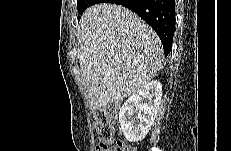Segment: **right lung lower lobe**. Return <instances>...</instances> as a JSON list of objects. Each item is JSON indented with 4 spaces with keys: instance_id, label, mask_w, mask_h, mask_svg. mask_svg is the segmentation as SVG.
Instances as JSON below:
<instances>
[{
    "instance_id": "1",
    "label": "right lung lower lobe",
    "mask_w": 231,
    "mask_h": 151,
    "mask_svg": "<svg viewBox=\"0 0 231 151\" xmlns=\"http://www.w3.org/2000/svg\"><path fill=\"white\" fill-rule=\"evenodd\" d=\"M114 3L122 5L147 22L161 39L165 56L171 51L175 30L174 0H91L90 4Z\"/></svg>"
}]
</instances>
